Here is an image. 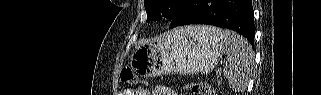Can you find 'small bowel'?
Here are the masks:
<instances>
[{
	"instance_id": "1",
	"label": "small bowel",
	"mask_w": 321,
	"mask_h": 95,
	"mask_svg": "<svg viewBox=\"0 0 321 95\" xmlns=\"http://www.w3.org/2000/svg\"><path fill=\"white\" fill-rule=\"evenodd\" d=\"M125 93L127 95H150L151 94L142 88H139L136 91L127 89L125 90ZM152 94L153 95H177V93L173 91L171 88L163 85L156 86Z\"/></svg>"
}]
</instances>
